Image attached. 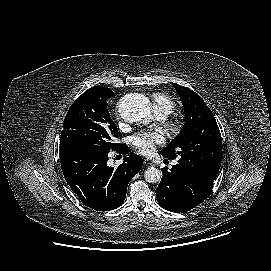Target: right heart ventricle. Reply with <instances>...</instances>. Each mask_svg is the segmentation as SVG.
Masks as SVG:
<instances>
[{
  "label": "right heart ventricle",
  "mask_w": 271,
  "mask_h": 271,
  "mask_svg": "<svg viewBox=\"0 0 271 271\" xmlns=\"http://www.w3.org/2000/svg\"><path fill=\"white\" fill-rule=\"evenodd\" d=\"M155 108L158 111H164L167 114L171 113L175 107L174 102L164 94H156L154 96Z\"/></svg>",
  "instance_id": "1"
}]
</instances>
